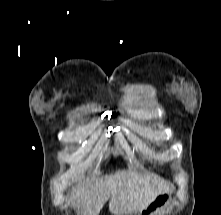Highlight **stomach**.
<instances>
[{
	"instance_id": "1",
	"label": "stomach",
	"mask_w": 221,
	"mask_h": 215,
	"mask_svg": "<svg viewBox=\"0 0 221 215\" xmlns=\"http://www.w3.org/2000/svg\"><path fill=\"white\" fill-rule=\"evenodd\" d=\"M170 192H160L147 204L138 215H161L170 205Z\"/></svg>"
}]
</instances>
